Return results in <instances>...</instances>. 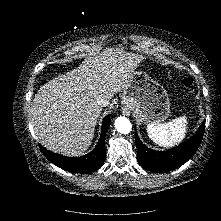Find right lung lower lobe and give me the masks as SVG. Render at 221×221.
<instances>
[{"mask_svg": "<svg viewBox=\"0 0 221 221\" xmlns=\"http://www.w3.org/2000/svg\"><path fill=\"white\" fill-rule=\"evenodd\" d=\"M110 116H106L103 120L101 128V138L98 141L95 149L85 156L78 158L65 157L46 150L42 145H39L45 157L56 166L73 173L86 174L97 170L105 161V136L108 127L110 126Z\"/></svg>", "mask_w": 221, "mask_h": 221, "instance_id": "right-lung-lower-lobe-1", "label": "right lung lower lobe"}]
</instances>
